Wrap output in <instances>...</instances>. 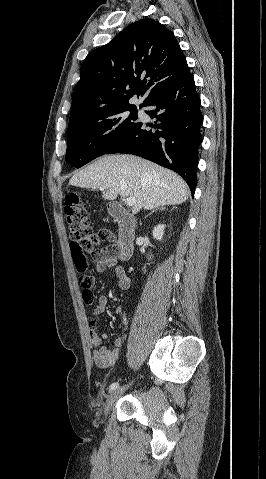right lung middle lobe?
<instances>
[{
  "label": "right lung middle lobe",
  "instance_id": "right-lung-middle-lobe-1",
  "mask_svg": "<svg viewBox=\"0 0 266 479\" xmlns=\"http://www.w3.org/2000/svg\"><path fill=\"white\" fill-rule=\"evenodd\" d=\"M136 119V107H122L69 121L66 161L80 168L106 154L136 125Z\"/></svg>",
  "mask_w": 266,
  "mask_h": 479
}]
</instances>
